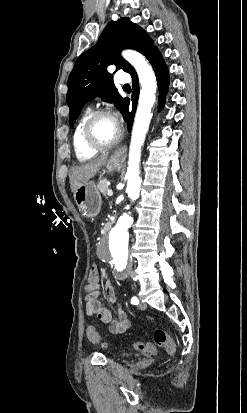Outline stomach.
<instances>
[{"label": "stomach", "instance_id": "1", "mask_svg": "<svg viewBox=\"0 0 247 413\" xmlns=\"http://www.w3.org/2000/svg\"><path fill=\"white\" fill-rule=\"evenodd\" d=\"M122 162H124V158L112 154L107 162H104V166H106L108 172H112V170H119ZM74 198L82 217L94 219L99 215L102 198L95 182H89L88 180V182L80 184L74 192Z\"/></svg>", "mask_w": 247, "mask_h": 413}]
</instances>
